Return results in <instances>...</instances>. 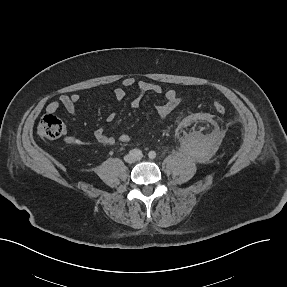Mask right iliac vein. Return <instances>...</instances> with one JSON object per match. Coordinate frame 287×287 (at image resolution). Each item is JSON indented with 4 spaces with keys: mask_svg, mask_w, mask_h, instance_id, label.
<instances>
[{
    "mask_svg": "<svg viewBox=\"0 0 287 287\" xmlns=\"http://www.w3.org/2000/svg\"><path fill=\"white\" fill-rule=\"evenodd\" d=\"M125 161L128 163H133L135 161V157L133 155L128 154L125 156Z\"/></svg>",
    "mask_w": 287,
    "mask_h": 287,
    "instance_id": "right-iliac-vein-1",
    "label": "right iliac vein"
}]
</instances>
